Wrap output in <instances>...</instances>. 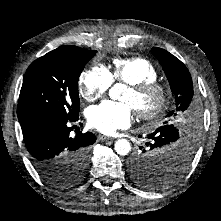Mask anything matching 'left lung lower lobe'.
I'll list each match as a JSON object with an SVG mask.
<instances>
[{"label":"left lung lower lobe","mask_w":221,"mask_h":221,"mask_svg":"<svg viewBox=\"0 0 221 221\" xmlns=\"http://www.w3.org/2000/svg\"><path fill=\"white\" fill-rule=\"evenodd\" d=\"M197 126L194 124V127H192L193 130H197ZM160 133H163L165 136H169V137H165V138H172V134L174 133L173 131H167L166 129L162 130ZM139 161L135 156H132L131 159L129 160V167H136L138 165Z\"/></svg>","instance_id":"1"}]
</instances>
